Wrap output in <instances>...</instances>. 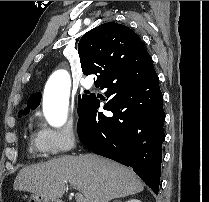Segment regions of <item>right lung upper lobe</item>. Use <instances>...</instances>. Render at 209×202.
<instances>
[{
    "instance_id": "cb5924a9",
    "label": "right lung upper lobe",
    "mask_w": 209,
    "mask_h": 202,
    "mask_svg": "<svg viewBox=\"0 0 209 202\" xmlns=\"http://www.w3.org/2000/svg\"><path fill=\"white\" fill-rule=\"evenodd\" d=\"M78 52L83 73L96 75L99 85L111 80L114 86L121 87L130 76L144 73V56L151 59L140 37L129 27L114 22L85 33ZM40 100L41 93L32 94L27 108H36Z\"/></svg>"
}]
</instances>
